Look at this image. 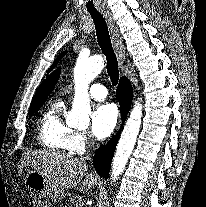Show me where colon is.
Wrapping results in <instances>:
<instances>
[{"label": "colon", "instance_id": "1", "mask_svg": "<svg viewBox=\"0 0 206 207\" xmlns=\"http://www.w3.org/2000/svg\"><path fill=\"white\" fill-rule=\"evenodd\" d=\"M33 201H34V207H48L46 200L39 196H35L33 198Z\"/></svg>", "mask_w": 206, "mask_h": 207}]
</instances>
